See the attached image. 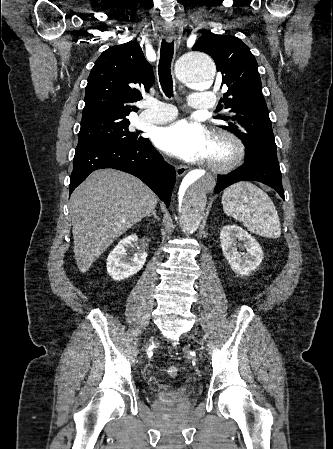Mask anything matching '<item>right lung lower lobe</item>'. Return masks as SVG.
<instances>
[{
    "mask_svg": "<svg viewBox=\"0 0 333 449\" xmlns=\"http://www.w3.org/2000/svg\"><path fill=\"white\" fill-rule=\"evenodd\" d=\"M70 193L94 170L113 168L130 173L147 184L169 206L176 180L174 168L166 163L149 139L137 145L97 142L77 145Z\"/></svg>",
    "mask_w": 333,
    "mask_h": 449,
    "instance_id": "right-lung-lower-lobe-1",
    "label": "right lung lower lobe"
}]
</instances>
